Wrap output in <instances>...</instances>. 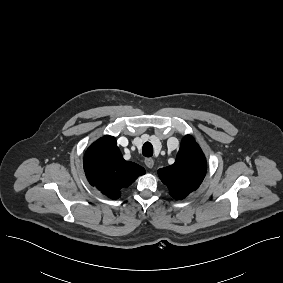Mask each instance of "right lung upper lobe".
<instances>
[{
    "label": "right lung upper lobe",
    "instance_id": "cb5924a9",
    "mask_svg": "<svg viewBox=\"0 0 283 283\" xmlns=\"http://www.w3.org/2000/svg\"><path fill=\"white\" fill-rule=\"evenodd\" d=\"M84 170L89 183L111 199H118L145 169L126 161L114 137L106 135L94 142L84 156Z\"/></svg>",
    "mask_w": 283,
    "mask_h": 283
}]
</instances>
